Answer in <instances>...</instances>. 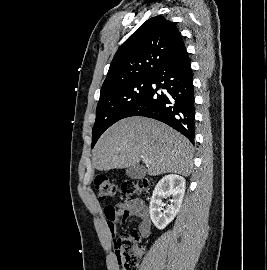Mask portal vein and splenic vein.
Wrapping results in <instances>:
<instances>
[{
	"label": "portal vein and splenic vein",
	"mask_w": 267,
	"mask_h": 270,
	"mask_svg": "<svg viewBox=\"0 0 267 270\" xmlns=\"http://www.w3.org/2000/svg\"><path fill=\"white\" fill-rule=\"evenodd\" d=\"M142 160H143V162H144L145 164L148 163V160H147L146 158L142 157Z\"/></svg>",
	"instance_id": "18ae733b"
}]
</instances>
